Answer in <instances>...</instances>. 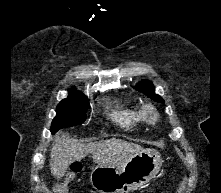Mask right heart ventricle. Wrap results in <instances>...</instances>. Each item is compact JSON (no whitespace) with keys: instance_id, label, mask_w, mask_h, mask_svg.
<instances>
[{"instance_id":"e07e8e85","label":"right heart ventricle","mask_w":221,"mask_h":193,"mask_svg":"<svg viewBox=\"0 0 221 193\" xmlns=\"http://www.w3.org/2000/svg\"><path fill=\"white\" fill-rule=\"evenodd\" d=\"M115 120L126 129H134L136 121L139 119V111L137 109H129L124 106H115L114 114Z\"/></svg>"}]
</instances>
